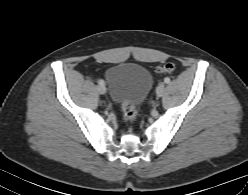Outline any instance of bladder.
Listing matches in <instances>:
<instances>
[{"label": "bladder", "instance_id": "bladder-1", "mask_svg": "<svg viewBox=\"0 0 248 195\" xmlns=\"http://www.w3.org/2000/svg\"><path fill=\"white\" fill-rule=\"evenodd\" d=\"M106 83L115 103L130 102L140 106L150 91L153 79L141 65L135 63H117L105 74Z\"/></svg>", "mask_w": 248, "mask_h": 195}]
</instances>
